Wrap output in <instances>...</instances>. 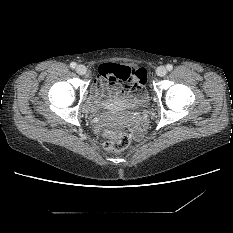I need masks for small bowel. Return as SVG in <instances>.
Here are the masks:
<instances>
[{"instance_id":"1","label":"small bowel","mask_w":233,"mask_h":233,"mask_svg":"<svg viewBox=\"0 0 233 233\" xmlns=\"http://www.w3.org/2000/svg\"><path fill=\"white\" fill-rule=\"evenodd\" d=\"M118 67H124L128 70L130 77L137 81L138 90H143V82L145 78L144 69L139 66H126L123 64L113 62H102L99 65V75L96 77L94 86L92 89V101L91 105L97 103L106 94H126L128 97H132L130 90H125L114 79V71Z\"/></svg>"}]
</instances>
